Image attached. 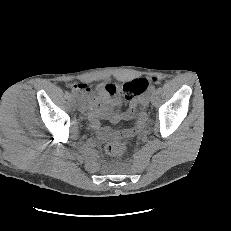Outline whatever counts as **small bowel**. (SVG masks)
Returning a JSON list of instances; mask_svg holds the SVG:
<instances>
[{"label":"small bowel","instance_id":"1","mask_svg":"<svg viewBox=\"0 0 231 231\" xmlns=\"http://www.w3.org/2000/svg\"><path fill=\"white\" fill-rule=\"evenodd\" d=\"M74 89L85 95L88 102L91 125L101 141H107L110 138L118 139L124 134H128L133 131L132 129H128L126 131L112 130L109 127H103L102 122L109 121L111 123H118L121 120H130L134 117L135 110L129 108L126 111H121L117 108L102 104L99 97L86 85L76 84L74 85ZM143 121L144 116L140 114L137 118V126L139 127Z\"/></svg>","mask_w":231,"mask_h":231}]
</instances>
